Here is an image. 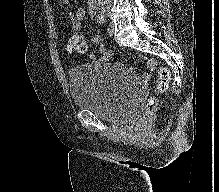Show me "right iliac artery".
I'll return each instance as SVG.
<instances>
[{"mask_svg": "<svg viewBox=\"0 0 219 192\" xmlns=\"http://www.w3.org/2000/svg\"><path fill=\"white\" fill-rule=\"evenodd\" d=\"M96 20L97 22H99L100 24H104L105 22V17L102 14H97L96 15Z\"/></svg>", "mask_w": 219, "mask_h": 192, "instance_id": "obj_1", "label": "right iliac artery"}]
</instances>
